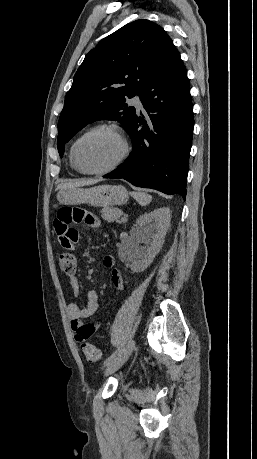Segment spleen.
Segmentation results:
<instances>
[{"instance_id":"1","label":"spleen","mask_w":257,"mask_h":459,"mask_svg":"<svg viewBox=\"0 0 257 459\" xmlns=\"http://www.w3.org/2000/svg\"><path fill=\"white\" fill-rule=\"evenodd\" d=\"M131 196L140 204L147 205L151 202L152 196L144 192H131Z\"/></svg>"}]
</instances>
